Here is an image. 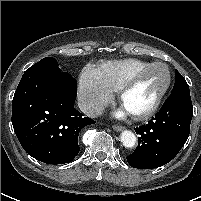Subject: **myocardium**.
Listing matches in <instances>:
<instances>
[{
  "label": "myocardium",
  "mask_w": 201,
  "mask_h": 201,
  "mask_svg": "<svg viewBox=\"0 0 201 201\" xmlns=\"http://www.w3.org/2000/svg\"><path fill=\"white\" fill-rule=\"evenodd\" d=\"M156 66H162L165 68L166 72H167V81L165 86L163 87V89L160 91V93L157 95V97L155 98L154 102L145 110L138 112V113H134L131 114L133 118H135L136 120H144V119H148L151 116H153L158 109L160 108L166 94L168 93L170 87H171V83H172V73L171 70L169 68V66L164 63V62H153L150 65H148L147 67L139 70L138 72H136L134 75H132L130 78H128L120 87V89L118 90V99L120 104L122 105L123 100L125 95L127 94V92L136 84L138 83L152 68L156 67Z\"/></svg>",
  "instance_id": "myocardium-1"
}]
</instances>
